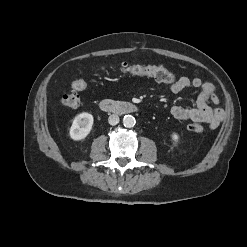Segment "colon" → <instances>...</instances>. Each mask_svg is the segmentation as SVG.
I'll return each mask as SVG.
<instances>
[{
	"instance_id": "colon-1",
	"label": "colon",
	"mask_w": 247,
	"mask_h": 247,
	"mask_svg": "<svg viewBox=\"0 0 247 247\" xmlns=\"http://www.w3.org/2000/svg\"><path fill=\"white\" fill-rule=\"evenodd\" d=\"M120 72L133 76L150 77L159 82L172 84L176 82V76L167 69L159 66H142L129 65L124 63L119 68ZM88 87V82L84 79H76L72 82V91L62 95L61 102L63 105L76 108L80 104V97L77 91L85 90ZM188 129L194 133H201L204 128L200 123H192Z\"/></svg>"
}]
</instances>
